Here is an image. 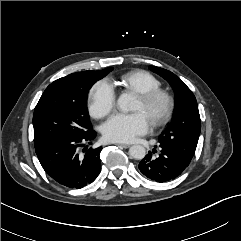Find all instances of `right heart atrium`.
<instances>
[{
	"instance_id": "right-heart-atrium-1",
	"label": "right heart atrium",
	"mask_w": 241,
	"mask_h": 241,
	"mask_svg": "<svg viewBox=\"0 0 241 241\" xmlns=\"http://www.w3.org/2000/svg\"><path fill=\"white\" fill-rule=\"evenodd\" d=\"M88 99L90 114L95 118L106 117L116 105L114 89L106 80H100L92 86Z\"/></svg>"
}]
</instances>
